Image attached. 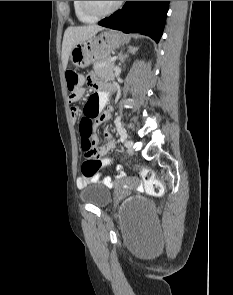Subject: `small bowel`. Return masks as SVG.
<instances>
[{
	"label": "small bowel",
	"instance_id": "c3829d8e",
	"mask_svg": "<svg viewBox=\"0 0 233 295\" xmlns=\"http://www.w3.org/2000/svg\"><path fill=\"white\" fill-rule=\"evenodd\" d=\"M92 80V76L89 77V81ZM96 88H98V84H95ZM84 93L80 94L76 98H70V102L75 103L82 99ZM106 96L104 94H99V93H94L90 96L88 99L86 106L84 108L83 114L84 117H88L92 120L93 124H101L105 121H107L110 116L112 109L111 108H106L105 109V104H106ZM82 114V111L79 107L74 106L71 108V115L74 119L78 118ZM104 144L101 145L100 151L102 154H106L109 152L111 149L114 147V141L111 137V135L108 132L104 133ZM124 173L122 171H119L118 173V178L123 177ZM100 181V175L95 174L91 177H79L76 181L77 187L78 188H84L87 186L89 183H98ZM103 183L110 185L112 183L111 179L109 177H105L103 179Z\"/></svg>",
	"mask_w": 233,
	"mask_h": 295
}]
</instances>
